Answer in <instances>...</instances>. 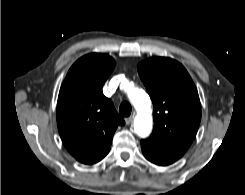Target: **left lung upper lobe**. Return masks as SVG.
<instances>
[{
	"label": "left lung upper lobe",
	"instance_id": "1",
	"mask_svg": "<svg viewBox=\"0 0 245 195\" xmlns=\"http://www.w3.org/2000/svg\"><path fill=\"white\" fill-rule=\"evenodd\" d=\"M138 72L153 102L151 137L188 149L201 120L197 89L177 61L152 57L138 64Z\"/></svg>",
	"mask_w": 245,
	"mask_h": 195
}]
</instances>
